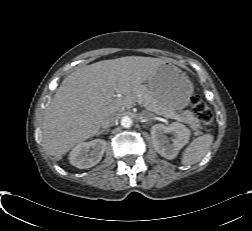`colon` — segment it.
Segmentation results:
<instances>
[{
  "instance_id": "colon-1",
  "label": "colon",
  "mask_w": 252,
  "mask_h": 231,
  "mask_svg": "<svg viewBox=\"0 0 252 231\" xmlns=\"http://www.w3.org/2000/svg\"><path fill=\"white\" fill-rule=\"evenodd\" d=\"M190 103L191 108L199 119L202 127L205 130H210L213 124V113L211 109L205 101L197 95L192 96Z\"/></svg>"
}]
</instances>
